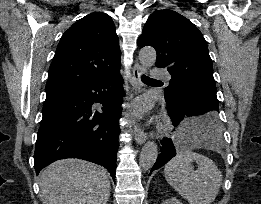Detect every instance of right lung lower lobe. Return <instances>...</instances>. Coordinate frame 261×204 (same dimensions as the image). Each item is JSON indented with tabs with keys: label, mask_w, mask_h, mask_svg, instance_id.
Listing matches in <instances>:
<instances>
[{
	"label": "right lung lower lobe",
	"mask_w": 261,
	"mask_h": 204,
	"mask_svg": "<svg viewBox=\"0 0 261 204\" xmlns=\"http://www.w3.org/2000/svg\"><path fill=\"white\" fill-rule=\"evenodd\" d=\"M122 84L118 69L47 93L34 154L37 174L56 160L79 158L104 166L115 180ZM93 103H100L102 112Z\"/></svg>",
	"instance_id": "right-lung-lower-lobe-1"
}]
</instances>
